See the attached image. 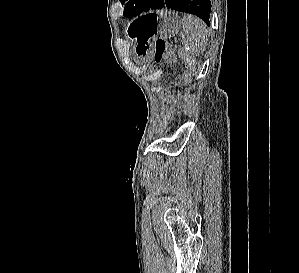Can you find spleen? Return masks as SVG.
Wrapping results in <instances>:
<instances>
[{
	"label": "spleen",
	"instance_id": "1",
	"mask_svg": "<svg viewBox=\"0 0 299 273\" xmlns=\"http://www.w3.org/2000/svg\"><path fill=\"white\" fill-rule=\"evenodd\" d=\"M183 47L192 56L203 55L208 38L206 24L192 15H185L182 20Z\"/></svg>",
	"mask_w": 299,
	"mask_h": 273
}]
</instances>
